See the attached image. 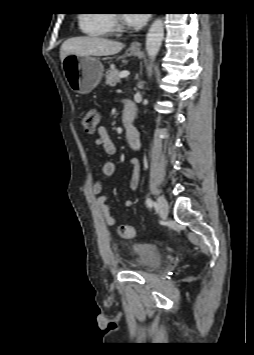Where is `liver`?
<instances>
[{
	"mask_svg": "<svg viewBox=\"0 0 254 355\" xmlns=\"http://www.w3.org/2000/svg\"><path fill=\"white\" fill-rule=\"evenodd\" d=\"M124 45L100 37H73L64 41L60 48V59L71 54L80 56H108L119 53Z\"/></svg>",
	"mask_w": 254,
	"mask_h": 355,
	"instance_id": "1",
	"label": "liver"
}]
</instances>
